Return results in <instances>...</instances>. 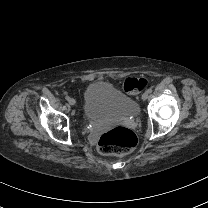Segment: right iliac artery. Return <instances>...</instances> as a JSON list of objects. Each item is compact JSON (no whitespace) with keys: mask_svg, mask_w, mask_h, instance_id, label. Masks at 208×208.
<instances>
[{"mask_svg":"<svg viewBox=\"0 0 208 208\" xmlns=\"http://www.w3.org/2000/svg\"><path fill=\"white\" fill-rule=\"evenodd\" d=\"M65 99H66L67 101H69V100H70V97H69V96H65Z\"/></svg>","mask_w":208,"mask_h":208,"instance_id":"82829eb1","label":"right iliac artery"}]
</instances>
